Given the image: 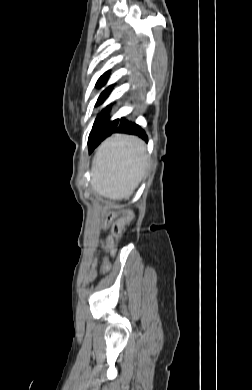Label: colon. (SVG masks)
I'll return each mask as SVG.
<instances>
[{"instance_id":"colon-1","label":"colon","mask_w":252,"mask_h":390,"mask_svg":"<svg viewBox=\"0 0 252 390\" xmlns=\"http://www.w3.org/2000/svg\"><path fill=\"white\" fill-rule=\"evenodd\" d=\"M118 213H122V217L115 221V217ZM133 212L130 209L123 208L122 206L112 207L104 218V226H111L110 234L107 236L103 246L107 250L111 251L114 255L116 252V243L119 242L122 235L124 226L131 220ZM110 268V264L106 258L103 259L102 273H106Z\"/></svg>"}]
</instances>
